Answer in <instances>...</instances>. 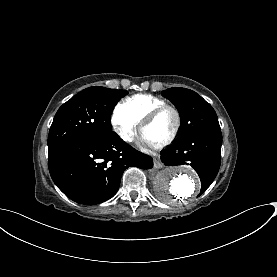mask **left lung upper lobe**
Segmentation results:
<instances>
[{"mask_svg":"<svg viewBox=\"0 0 277 277\" xmlns=\"http://www.w3.org/2000/svg\"><path fill=\"white\" fill-rule=\"evenodd\" d=\"M162 95L178 109L181 118L179 138L196 133L221 130L216 112L196 92L186 88H169Z\"/></svg>","mask_w":277,"mask_h":277,"instance_id":"1","label":"left lung upper lobe"}]
</instances>
